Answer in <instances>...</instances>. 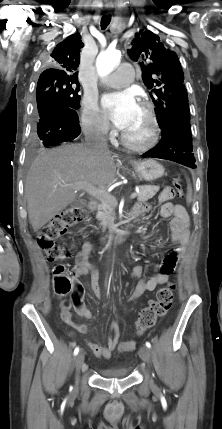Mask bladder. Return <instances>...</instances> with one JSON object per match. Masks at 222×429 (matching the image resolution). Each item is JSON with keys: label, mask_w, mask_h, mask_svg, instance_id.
I'll list each match as a JSON object with an SVG mask.
<instances>
[{"label": "bladder", "mask_w": 222, "mask_h": 429, "mask_svg": "<svg viewBox=\"0 0 222 429\" xmlns=\"http://www.w3.org/2000/svg\"><path fill=\"white\" fill-rule=\"evenodd\" d=\"M102 375L111 378H122L128 375V371L123 368H117L112 370H106L102 373Z\"/></svg>", "instance_id": "1"}]
</instances>
